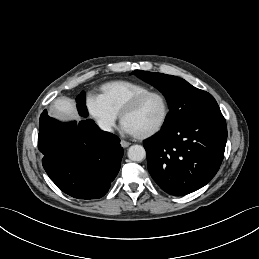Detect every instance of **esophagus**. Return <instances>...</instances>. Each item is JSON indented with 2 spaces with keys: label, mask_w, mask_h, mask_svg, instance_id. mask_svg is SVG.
I'll return each instance as SVG.
<instances>
[{
  "label": "esophagus",
  "mask_w": 259,
  "mask_h": 259,
  "mask_svg": "<svg viewBox=\"0 0 259 259\" xmlns=\"http://www.w3.org/2000/svg\"><path fill=\"white\" fill-rule=\"evenodd\" d=\"M120 144L123 148H127L130 146V143L125 140H121Z\"/></svg>",
  "instance_id": "1"
}]
</instances>
